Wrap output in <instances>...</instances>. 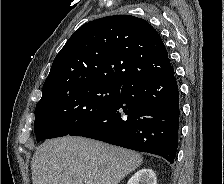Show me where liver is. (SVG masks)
<instances>
[{"label":"liver","instance_id":"1","mask_svg":"<svg viewBox=\"0 0 224 184\" xmlns=\"http://www.w3.org/2000/svg\"><path fill=\"white\" fill-rule=\"evenodd\" d=\"M143 162L141 154L82 137L45 141L31 161L33 184H119Z\"/></svg>","mask_w":224,"mask_h":184}]
</instances>
